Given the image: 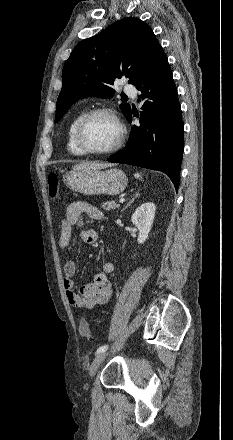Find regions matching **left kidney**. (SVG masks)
I'll return each mask as SVG.
<instances>
[{
  "label": "left kidney",
  "mask_w": 233,
  "mask_h": 440,
  "mask_svg": "<svg viewBox=\"0 0 233 440\" xmlns=\"http://www.w3.org/2000/svg\"><path fill=\"white\" fill-rule=\"evenodd\" d=\"M155 210V204L147 202L138 207L131 216L132 223L135 224L139 230L137 239L139 244H143L148 238L155 217Z\"/></svg>",
  "instance_id": "1"
}]
</instances>
